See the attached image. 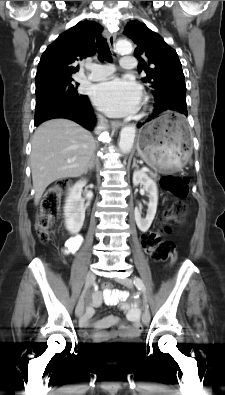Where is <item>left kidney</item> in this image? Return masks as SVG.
<instances>
[{
  "instance_id": "1",
  "label": "left kidney",
  "mask_w": 225,
  "mask_h": 395,
  "mask_svg": "<svg viewBox=\"0 0 225 395\" xmlns=\"http://www.w3.org/2000/svg\"><path fill=\"white\" fill-rule=\"evenodd\" d=\"M143 185L145 191L148 193L149 203L147 209V215L145 218L141 217V211L139 208H135V221L140 231L146 232L155 217L157 204H158V189L156 182L152 180L145 172L141 170L134 171L133 173V185Z\"/></svg>"
}]
</instances>
